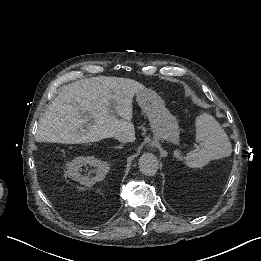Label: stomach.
Listing matches in <instances>:
<instances>
[{"instance_id":"stomach-1","label":"stomach","mask_w":261,"mask_h":261,"mask_svg":"<svg viewBox=\"0 0 261 261\" xmlns=\"http://www.w3.org/2000/svg\"><path fill=\"white\" fill-rule=\"evenodd\" d=\"M136 100L147 115L155 138L177 142L179 125L176 118L165 107L162 98L150 89H144L136 94Z\"/></svg>"}]
</instances>
